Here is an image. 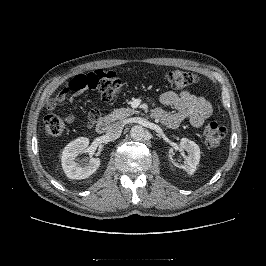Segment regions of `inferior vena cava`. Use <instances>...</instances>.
I'll list each match as a JSON object with an SVG mask.
<instances>
[{"label":"inferior vena cava","instance_id":"602c4592","mask_svg":"<svg viewBox=\"0 0 266 266\" xmlns=\"http://www.w3.org/2000/svg\"><path fill=\"white\" fill-rule=\"evenodd\" d=\"M124 124L122 122H114L112 123L106 131V136L110 140H116L120 137L121 132L123 130Z\"/></svg>","mask_w":266,"mask_h":266}]
</instances>
